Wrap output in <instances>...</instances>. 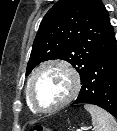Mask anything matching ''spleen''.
I'll use <instances>...</instances> for the list:
<instances>
[{
    "label": "spleen",
    "mask_w": 117,
    "mask_h": 131,
    "mask_svg": "<svg viewBox=\"0 0 117 131\" xmlns=\"http://www.w3.org/2000/svg\"><path fill=\"white\" fill-rule=\"evenodd\" d=\"M84 108L92 116L94 131H117V122L107 111L92 104H85Z\"/></svg>",
    "instance_id": "3e777b00"
}]
</instances>
